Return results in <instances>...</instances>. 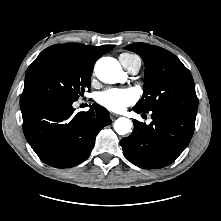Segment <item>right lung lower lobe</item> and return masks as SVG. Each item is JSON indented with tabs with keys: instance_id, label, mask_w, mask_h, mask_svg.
Here are the masks:
<instances>
[{
	"instance_id": "98d812e1",
	"label": "right lung lower lobe",
	"mask_w": 221,
	"mask_h": 221,
	"mask_svg": "<svg viewBox=\"0 0 221 221\" xmlns=\"http://www.w3.org/2000/svg\"><path fill=\"white\" fill-rule=\"evenodd\" d=\"M71 101L30 97L20 102L24 135L39 158L56 168L85 161L99 131L111 123L109 112L96 104L74 114Z\"/></svg>"
}]
</instances>
